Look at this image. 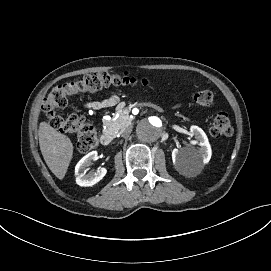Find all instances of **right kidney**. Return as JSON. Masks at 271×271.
<instances>
[{
  "label": "right kidney",
  "instance_id": "ca27d5eb",
  "mask_svg": "<svg viewBox=\"0 0 271 271\" xmlns=\"http://www.w3.org/2000/svg\"><path fill=\"white\" fill-rule=\"evenodd\" d=\"M97 160V152L92 151L84 156L75 166L76 183L79 186H92L99 182L106 174V169L100 167L97 172L91 171L88 174L87 167Z\"/></svg>",
  "mask_w": 271,
  "mask_h": 271
}]
</instances>
